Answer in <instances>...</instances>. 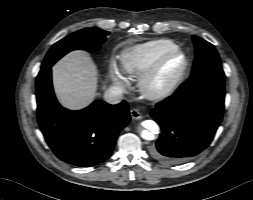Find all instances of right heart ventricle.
Masks as SVG:
<instances>
[{
  "label": "right heart ventricle",
  "mask_w": 253,
  "mask_h": 200,
  "mask_svg": "<svg viewBox=\"0 0 253 200\" xmlns=\"http://www.w3.org/2000/svg\"><path fill=\"white\" fill-rule=\"evenodd\" d=\"M178 46L169 39H156L124 49L120 55L121 70L125 74L143 73L161 54Z\"/></svg>",
  "instance_id": "obj_1"
}]
</instances>
